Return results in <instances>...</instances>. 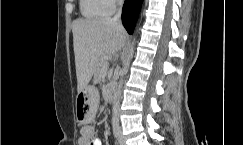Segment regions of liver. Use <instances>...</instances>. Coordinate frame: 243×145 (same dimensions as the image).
Instances as JSON below:
<instances>
[{"label": "liver", "mask_w": 243, "mask_h": 145, "mask_svg": "<svg viewBox=\"0 0 243 145\" xmlns=\"http://www.w3.org/2000/svg\"><path fill=\"white\" fill-rule=\"evenodd\" d=\"M77 90L83 91L106 55L122 49L127 34L111 18L77 19L72 24Z\"/></svg>", "instance_id": "1"}]
</instances>
